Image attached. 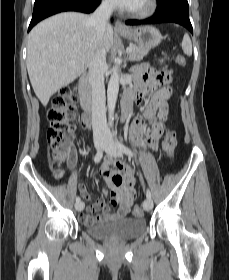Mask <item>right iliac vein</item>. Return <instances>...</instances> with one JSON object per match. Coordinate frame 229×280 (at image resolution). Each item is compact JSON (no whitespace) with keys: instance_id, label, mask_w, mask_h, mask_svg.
Returning a JSON list of instances; mask_svg holds the SVG:
<instances>
[{"instance_id":"obj_1","label":"right iliac vein","mask_w":229,"mask_h":280,"mask_svg":"<svg viewBox=\"0 0 229 280\" xmlns=\"http://www.w3.org/2000/svg\"><path fill=\"white\" fill-rule=\"evenodd\" d=\"M95 147L97 150L101 149L103 147V145L105 144V139L100 138V139H96L95 142ZM75 208L77 211H82L84 209V202L80 201L78 203L75 204Z\"/></svg>"}]
</instances>
